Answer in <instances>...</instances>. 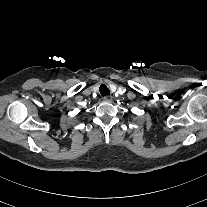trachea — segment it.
I'll list each match as a JSON object with an SVG mask.
<instances>
[{"label":"trachea","mask_w":207,"mask_h":207,"mask_svg":"<svg viewBox=\"0 0 207 207\" xmlns=\"http://www.w3.org/2000/svg\"><path fill=\"white\" fill-rule=\"evenodd\" d=\"M99 91L101 93V95H108L110 94V90L107 88V86L105 84H102L99 88Z\"/></svg>","instance_id":"1"}]
</instances>
